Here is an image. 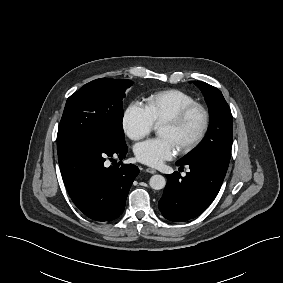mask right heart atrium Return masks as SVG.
Segmentation results:
<instances>
[{"label": "right heart atrium", "instance_id": "d8ad5b80", "mask_svg": "<svg viewBox=\"0 0 283 283\" xmlns=\"http://www.w3.org/2000/svg\"><path fill=\"white\" fill-rule=\"evenodd\" d=\"M122 127L130 139L139 140L152 131L154 122L145 105L138 100H134L129 103L123 113Z\"/></svg>", "mask_w": 283, "mask_h": 283}]
</instances>
